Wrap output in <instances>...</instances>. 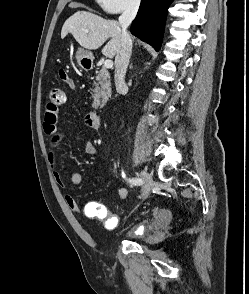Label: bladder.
Here are the masks:
<instances>
[{
	"label": "bladder",
	"instance_id": "obj_1",
	"mask_svg": "<svg viewBox=\"0 0 249 294\" xmlns=\"http://www.w3.org/2000/svg\"><path fill=\"white\" fill-rule=\"evenodd\" d=\"M170 221H171V214L167 211H165L164 214L157 219V222L161 223V225L168 224ZM152 232H153V228H151L149 225L145 223H141L137 227V229L135 230L132 236L138 240H143Z\"/></svg>",
	"mask_w": 249,
	"mask_h": 294
}]
</instances>
